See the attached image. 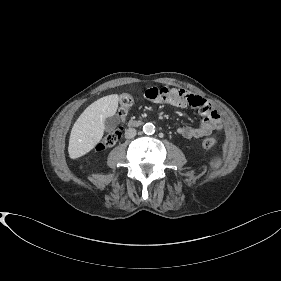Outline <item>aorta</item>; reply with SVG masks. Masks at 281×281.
Wrapping results in <instances>:
<instances>
[{
    "mask_svg": "<svg viewBox=\"0 0 281 281\" xmlns=\"http://www.w3.org/2000/svg\"><path fill=\"white\" fill-rule=\"evenodd\" d=\"M143 132L147 135H152L155 133V126L152 123H146L143 126Z\"/></svg>",
    "mask_w": 281,
    "mask_h": 281,
    "instance_id": "1",
    "label": "aorta"
}]
</instances>
